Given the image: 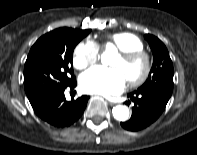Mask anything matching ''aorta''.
<instances>
[{"mask_svg":"<svg viewBox=\"0 0 197 155\" xmlns=\"http://www.w3.org/2000/svg\"><path fill=\"white\" fill-rule=\"evenodd\" d=\"M113 54V49L107 48L101 55V62L105 65L108 64L110 57ZM113 117L118 121H126L129 118V109L124 105H117L112 109Z\"/></svg>","mask_w":197,"mask_h":155,"instance_id":"aorta-1","label":"aorta"}]
</instances>
